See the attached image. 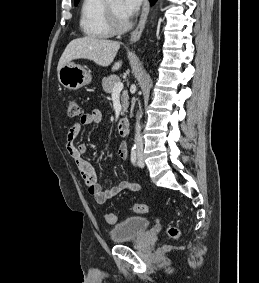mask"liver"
<instances>
[{"label":"liver","instance_id":"1","mask_svg":"<svg viewBox=\"0 0 259 283\" xmlns=\"http://www.w3.org/2000/svg\"><path fill=\"white\" fill-rule=\"evenodd\" d=\"M120 48V43L116 41L99 39L86 36L72 40L65 48L58 62L57 71L68 62L74 59H88L102 67L109 66ZM122 61H118L112 67V71L118 70Z\"/></svg>","mask_w":259,"mask_h":283}]
</instances>
